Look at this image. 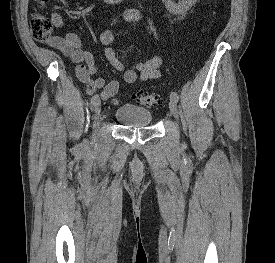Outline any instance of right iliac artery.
<instances>
[{
    "label": "right iliac artery",
    "instance_id": "1",
    "mask_svg": "<svg viewBox=\"0 0 275 263\" xmlns=\"http://www.w3.org/2000/svg\"><path fill=\"white\" fill-rule=\"evenodd\" d=\"M98 100H99L98 95L92 96V98H91V100H90L91 110L94 109V107L96 106Z\"/></svg>",
    "mask_w": 275,
    "mask_h": 263
}]
</instances>
